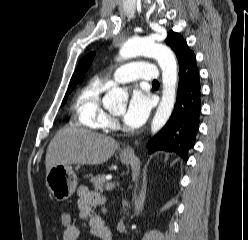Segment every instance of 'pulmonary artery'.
I'll return each instance as SVG.
<instances>
[{"label": "pulmonary artery", "mask_w": 248, "mask_h": 240, "mask_svg": "<svg viewBox=\"0 0 248 240\" xmlns=\"http://www.w3.org/2000/svg\"><path fill=\"white\" fill-rule=\"evenodd\" d=\"M111 79L118 83H128L136 80L156 81L159 73L156 67L143 61H132L115 69Z\"/></svg>", "instance_id": "obj_1"}]
</instances>
